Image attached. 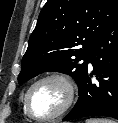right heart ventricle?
Masks as SVG:
<instances>
[{
    "label": "right heart ventricle",
    "mask_w": 118,
    "mask_h": 123,
    "mask_svg": "<svg viewBox=\"0 0 118 123\" xmlns=\"http://www.w3.org/2000/svg\"><path fill=\"white\" fill-rule=\"evenodd\" d=\"M23 113H24V115L28 116L26 111H25V107L24 106H23Z\"/></svg>",
    "instance_id": "1"
}]
</instances>
